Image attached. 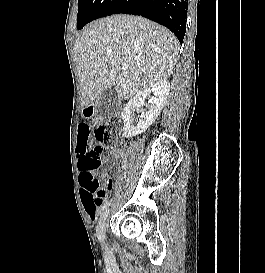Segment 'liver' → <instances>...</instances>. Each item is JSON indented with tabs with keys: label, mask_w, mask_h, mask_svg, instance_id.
Segmentation results:
<instances>
[{
	"label": "liver",
	"mask_w": 265,
	"mask_h": 273,
	"mask_svg": "<svg viewBox=\"0 0 265 273\" xmlns=\"http://www.w3.org/2000/svg\"><path fill=\"white\" fill-rule=\"evenodd\" d=\"M179 42L149 19L113 15L91 23L76 40L74 54L87 107L111 86L126 99L171 76ZM122 64L127 68L123 70Z\"/></svg>",
	"instance_id": "6515ba94"
}]
</instances>
